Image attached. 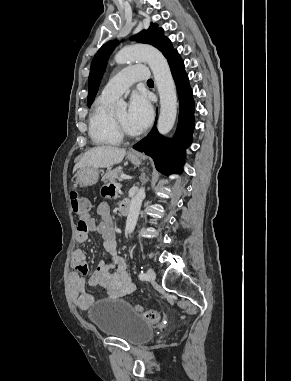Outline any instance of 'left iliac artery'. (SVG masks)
I'll list each match as a JSON object with an SVG mask.
<instances>
[{
  "label": "left iliac artery",
  "instance_id": "1",
  "mask_svg": "<svg viewBox=\"0 0 291 381\" xmlns=\"http://www.w3.org/2000/svg\"><path fill=\"white\" fill-rule=\"evenodd\" d=\"M138 277L140 280H145L147 278L146 274L143 271L139 273Z\"/></svg>",
  "mask_w": 291,
  "mask_h": 381
}]
</instances>
